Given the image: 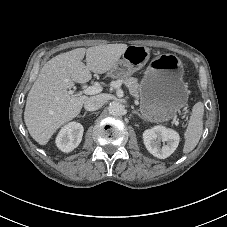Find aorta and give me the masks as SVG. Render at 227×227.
Wrapping results in <instances>:
<instances>
[{
	"label": "aorta",
	"instance_id": "762f6f07",
	"mask_svg": "<svg viewBox=\"0 0 227 227\" xmlns=\"http://www.w3.org/2000/svg\"><path fill=\"white\" fill-rule=\"evenodd\" d=\"M108 111H109V114L113 116H120L123 114L124 106L118 101H113V102H110L108 106Z\"/></svg>",
	"mask_w": 227,
	"mask_h": 227
}]
</instances>
